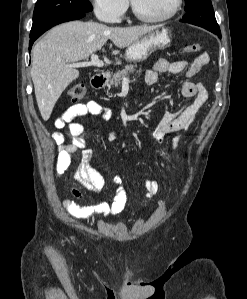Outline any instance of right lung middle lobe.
I'll list each match as a JSON object with an SVG mask.
<instances>
[{
    "mask_svg": "<svg viewBox=\"0 0 247 299\" xmlns=\"http://www.w3.org/2000/svg\"><path fill=\"white\" fill-rule=\"evenodd\" d=\"M92 10L89 0H37L30 35L66 15Z\"/></svg>",
    "mask_w": 247,
    "mask_h": 299,
    "instance_id": "1",
    "label": "right lung middle lobe"
}]
</instances>
